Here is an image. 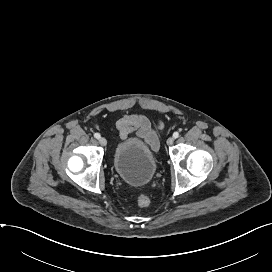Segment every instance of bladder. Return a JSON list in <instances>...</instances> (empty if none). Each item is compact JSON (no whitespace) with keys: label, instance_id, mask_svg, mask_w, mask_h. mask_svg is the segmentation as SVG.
<instances>
[{"label":"bladder","instance_id":"obj_1","mask_svg":"<svg viewBox=\"0 0 272 272\" xmlns=\"http://www.w3.org/2000/svg\"><path fill=\"white\" fill-rule=\"evenodd\" d=\"M113 167L126 183L143 186L154 177L157 160L155 154L141 140L128 138L116 146Z\"/></svg>","mask_w":272,"mask_h":272}]
</instances>
